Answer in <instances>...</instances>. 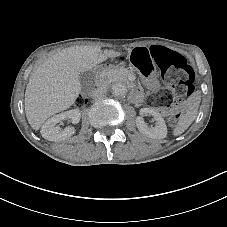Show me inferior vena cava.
<instances>
[{"label":"inferior vena cava","instance_id":"obj_1","mask_svg":"<svg viewBox=\"0 0 227 227\" xmlns=\"http://www.w3.org/2000/svg\"><path fill=\"white\" fill-rule=\"evenodd\" d=\"M106 90L104 88L98 87L91 90L90 95L94 99H99L105 95Z\"/></svg>","mask_w":227,"mask_h":227}]
</instances>
